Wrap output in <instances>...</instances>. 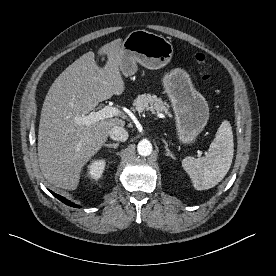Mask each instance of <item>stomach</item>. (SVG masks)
<instances>
[{"mask_svg": "<svg viewBox=\"0 0 276 276\" xmlns=\"http://www.w3.org/2000/svg\"><path fill=\"white\" fill-rule=\"evenodd\" d=\"M121 50L119 68L125 77H132L138 70V64L151 70L166 66L174 52L167 39L146 30L132 31L122 42ZM162 84L175 114L179 141L194 143L209 119L207 101L182 69L165 74Z\"/></svg>", "mask_w": 276, "mask_h": 276, "instance_id": "0dacf381", "label": "stomach"}]
</instances>
